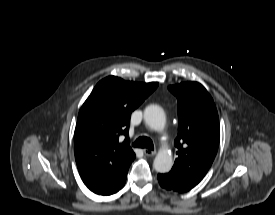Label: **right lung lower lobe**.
Returning <instances> with one entry per match:
<instances>
[{"label": "right lung lower lobe", "mask_w": 275, "mask_h": 215, "mask_svg": "<svg viewBox=\"0 0 275 215\" xmlns=\"http://www.w3.org/2000/svg\"><path fill=\"white\" fill-rule=\"evenodd\" d=\"M129 166L118 173L105 174L85 184L91 191L99 195H110L116 193L125 184Z\"/></svg>", "instance_id": "1"}]
</instances>
